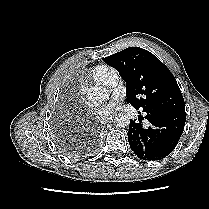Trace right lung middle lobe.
<instances>
[{"instance_id":"dd1d6c3e","label":"right lung middle lobe","mask_w":209,"mask_h":209,"mask_svg":"<svg viewBox=\"0 0 209 209\" xmlns=\"http://www.w3.org/2000/svg\"><path fill=\"white\" fill-rule=\"evenodd\" d=\"M59 147L61 151H63V153L67 154L70 157H75L79 155V151L72 149V147L68 146L67 144L62 143L59 145Z\"/></svg>"}]
</instances>
